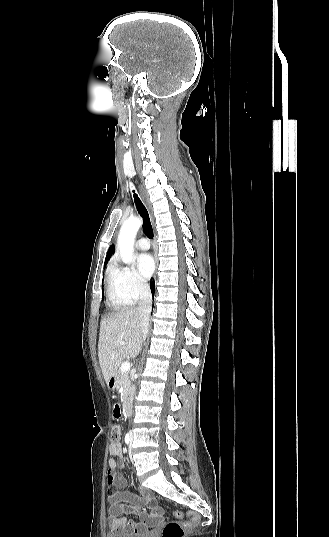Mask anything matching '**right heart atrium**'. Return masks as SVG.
Here are the masks:
<instances>
[{"instance_id":"d8ad5b80","label":"right heart atrium","mask_w":329,"mask_h":537,"mask_svg":"<svg viewBox=\"0 0 329 537\" xmlns=\"http://www.w3.org/2000/svg\"><path fill=\"white\" fill-rule=\"evenodd\" d=\"M118 292L129 302H136L149 292L147 283L128 266H115L112 270Z\"/></svg>"}]
</instances>
